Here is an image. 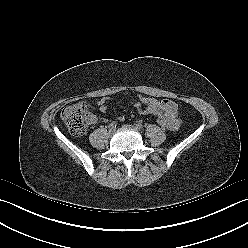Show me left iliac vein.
I'll return each instance as SVG.
<instances>
[{"mask_svg": "<svg viewBox=\"0 0 248 248\" xmlns=\"http://www.w3.org/2000/svg\"><path fill=\"white\" fill-rule=\"evenodd\" d=\"M123 127L132 128V129H134V130H136V131L139 130L136 126H133V125H124Z\"/></svg>", "mask_w": 248, "mask_h": 248, "instance_id": "obj_1", "label": "left iliac vein"}]
</instances>
